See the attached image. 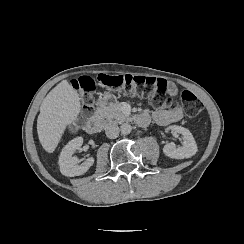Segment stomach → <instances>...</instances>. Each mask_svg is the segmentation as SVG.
<instances>
[{"label":"stomach","instance_id":"obj_1","mask_svg":"<svg viewBox=\"0 0 244 244\" xmlns=\"http://www.w3.org/2000/svg\"><path fill=\"white\" fill-rule=\"evenodd\" d=\"M108 96H110V93H106V94H105V97H108Z\"/></svg>","mask_w":244,"mask_h":244}]
</instances>
